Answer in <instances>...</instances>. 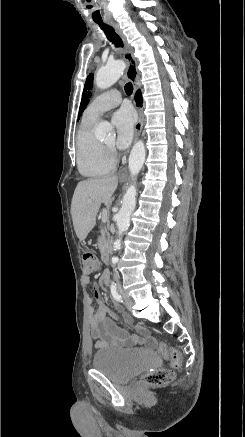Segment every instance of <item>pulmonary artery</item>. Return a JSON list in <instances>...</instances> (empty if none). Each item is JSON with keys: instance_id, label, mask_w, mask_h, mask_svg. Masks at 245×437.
Returning <instances> with one entry per match:
<instances>
[{"instance_id": "obj_1", "label": "pulmonary artery", "mask_w": 245, "mask_h": 437, "mask_svg": "<svg viewBox=\"0 0 245 437\" xmlns=\"http://www.w3.org/2000/svg\"><path fill=\"white\" fill-rule=\"evenodd\" d=\"M121 102V94L112 89L97 96L85 110V116L96 119L104 112L118 106Z\"/></svg>"}]
</instances>
